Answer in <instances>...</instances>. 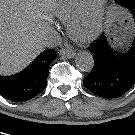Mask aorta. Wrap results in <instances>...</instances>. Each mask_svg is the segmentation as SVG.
I'll return each instance as SVG.
<instances>
[{
  "label": "aorta",
  "mask_w": 135,
  "mask_h": 135,
  "mask_svg": "<svg viewBox=\"0 0 135 135\" xmlns=\"http://www.w3.org/2000/svg\"><path fill=\"white\" fill-rule=\"evenodd\" d=\"M75 61L77 67L84 72H90L94 67L93 56L87 51H80L76 55Z\"/></svg>",
  "instance_id": "762f6f07"
}]
</instances>
